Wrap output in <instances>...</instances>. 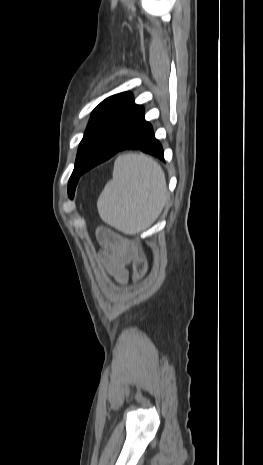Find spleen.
Masks as SVG:
<instances>
[{
  "label": "spleen",
  "mask_w": 263,
  "mask_h": 465,
  "mask_svg": "<svg viewBox=\"0 0 263 465\" xmlns=\"http://www.w3.org/2000/svg\"><path fill=\"white\" fill-rule=\"evenodd\" d=\"M166 197L160 165L142 154H125L116 159L113 179L100 194L97 208L105 223L133 235L157 219Z\"/></svg>",
  "instance_id": "obj_1"
}]
</instances>
